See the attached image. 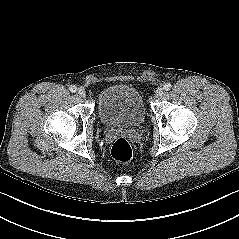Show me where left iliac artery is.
I'll use <instances>...</instances> for the list:
<instances>
[{
  "label": "left iliac artery",
  "mask_w": 239,
  "mask_h": 239,
  "mask_svg": "<svg viewBox=\"0 0 239 239\" xmlns=\"http://www.w3.org/2000/svg\"><path fill=\"white\" fill-rule=\"evenodd\" d=\"M171 87H172L171 83H166V84L164 85V89H165L166 91L170 90Z\"/></svg>",
  "instance_id": "44dca946"
}]
</instances>
